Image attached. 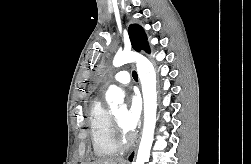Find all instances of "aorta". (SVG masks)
<instances>
[{"label":"aorta","mask_w":251,"mask_h":164,"mask_svg":"<svg viewBox=\"0 0 251 164\" xmlns=\"http://www.w3.org/2000/svg\"><path fill=\"white\" fill-rule=\"evenodd\" d=\"M135 62L138 77L142 85L144 100V126L136 161L133 164L148 162L154 139L157 113L156 72L152 63L143 55L133 51L117 53L113 59L114 67ZM124 92L115 85H111L106 92V101L110 107H116L124 99Z\"/></svg>","instance_id":"aorta-1"}]
</instances>
